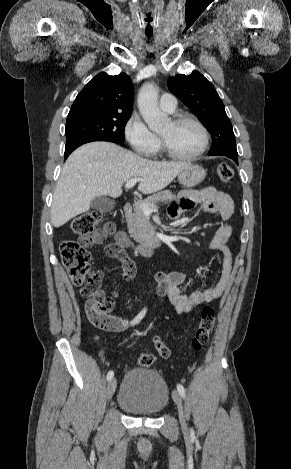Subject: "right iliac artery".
<instances>
[{"mask_svg":"<svg viewBox=\"0 0 291 469\" xmlns=\"http://www.w3.org/2000/svg\"><path fill=\"white\" fill-rule=\"evenodd\" d=\"M146 314V308H144L131 322V325L139 323ZM114 376V372L111 370L107 373V380H111Z\"/></svg>","mask_w":291,"mask_h":469,"instance_id":"obj_1","label":"right iliac artery"}]
</instances>
